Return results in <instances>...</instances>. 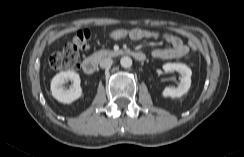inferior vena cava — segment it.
I'll return each mask as SVG.
<instances>
[{
  "mask_svg": "<svg viewBox=\"0 0 244 157\" xmlns=\"http://www.w3.org/2000/svg\"><path fill=\"white\" fill-rule=\"evenodd\" d=\"M113 64V60L111 58H103L100 61V67L101 68H110Z\"/></svg>",
  "mask_w": 244,
  "mask_h": 157,
  "instance_id": "1",
  "label": "inferior vena cava"
}]
</instances>
